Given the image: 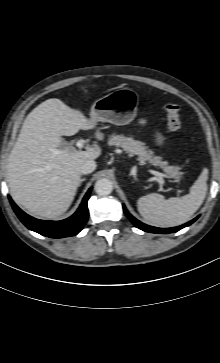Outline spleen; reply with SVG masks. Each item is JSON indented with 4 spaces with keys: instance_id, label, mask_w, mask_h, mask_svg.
<instances>
[{
    "instance_id": "obj_1",
    "label": "spleen",
    "mask_w": 220,
    "mask_h": 363,
    "mask_svg": "<svg viewBox=\"0 0 220 363\" xmlns=\"http://www.w3.org/2000/svg\"><path fill=\"white\" fill-rule=\"evenodd\" d=\"M208 172L205 170L183 197L165 199L152 193L138 199V211L144 220L157 227H174L187 222L202 205L207 193Z\"/></svg>"
}]
</instances>
